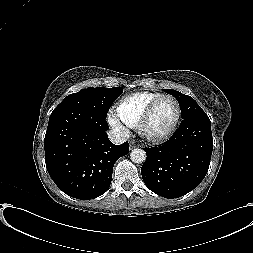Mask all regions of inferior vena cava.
Masks as SVG:
<instances>
[{
	"label": "inferior vena cava",
	"mask_w": 253,
	"mask_h": 253,
	"mask_svg": "<svg viewBox=\"0 0 253 253\" xmlns=\"http://www.w3.org/2000/svg\"><path fill=\"white\" fill-rule=\"evenodd\" d=\"M110 141L114 144H122L126 141V137L116 130H110L108 132Z\"/></svg>",
	"instance_id": "602c4592"
}]
</instances>
